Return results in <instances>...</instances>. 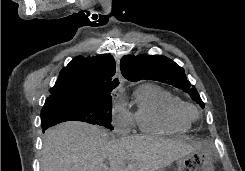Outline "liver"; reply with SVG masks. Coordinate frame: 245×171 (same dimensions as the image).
<instances>
[{
    "label": "liver",
    "instance_id": "1",
    "mask_svg": "<svg viewBox=\"0 0 245 171\" xmlns=\"http://www.w3.org/2000/svg\"><path fill=\"white\" fill-rule=\"evenodd\" d=\"M199 147L147 135L109 140L97 126L70 121L46 132L41 171H159Z\"/></svg>",
    "mask_w": 245,
    "mask_h": 171
}]
</instances>
